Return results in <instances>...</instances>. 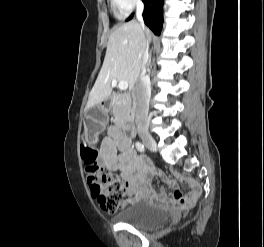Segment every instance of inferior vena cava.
Here are the masks:
<instances>
[{"label":"inferior vena cava","mask_w":264,"mask_h":247,"mask_svg":"<svg viewBox=\"0 0 264 247\" xmlns=\"http://www.w3.org/2000/svg\"><path fill=\"white\" fill-rule=\"evenodd\" d=\"M143 10L144 5L142 2H138L136 5V18L139 21L143 30H145V25L143 21ZM148 42L143 40L141 47V76L136 82L135 86V98H136V115L135 123L138 128L146 125L148 109H149V100L151 96V86L150 82L145 77L146 64L148 62Z\"/></svg>","instance_id":"inferior-vena-cava-1"}]
</instances>
